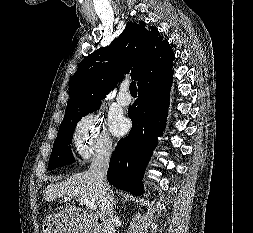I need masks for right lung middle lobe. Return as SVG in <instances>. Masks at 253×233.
Here are the masks:
<instances>
[{
    "instance_id": "1",
    "label": "right lung middle lobe",
    "mask_w": 253,
    "mask_h": 233,
    "mask_svg": "<svg viewBox=\"0 0 253 233\" xmlns=\"http://www.w3.org/2000/svg\"><path fill=\"white\" fill-rule=\"evenodd\" d=\"M100 104H97L85 111L79 112L69 118L63 119L56 140L54 141L52 153L49 160L48 168L53 170L57 167L73 163L74 157L71 152V140L77 122L89 112L99 109Z\"/></svg>"
}]
</instances>
